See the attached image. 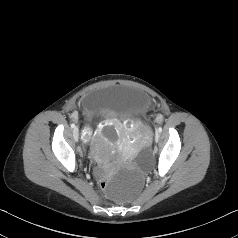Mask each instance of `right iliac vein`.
<instances>
[{
	"mask_svg": "<svg viewBox=\"0 0 238 238\" xmlns=\"http://www.w3.org/2000/svg\"><path fill=\"white\" fill-rule=\"evenodd\" d=\"M73 136L74 138H79V128L78 127H74L73 129Z\"/></svg>",
	"mask_w": 238,
	"mask_h": 238,
	"instance_id": "63e3f726",
	"label": "right iliac vein"
}]
</instances>
